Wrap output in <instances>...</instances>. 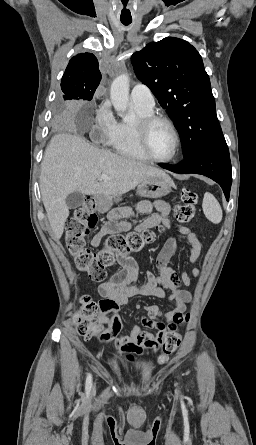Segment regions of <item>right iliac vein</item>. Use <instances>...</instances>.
I'll return each mask as SVG.
<instances>
[{"mask_svg":"<svg viewBox=\"0 0 256 445\" xmlns=\"http://www.w3.org/2000/svg\"><path fill=\"white\" fill-rule=\"evenodd\" d=\"M94 389H95V386H94V385H92V391H94Z\"/></svg>","mask_w":256,"mask_h":445,"instance_id":"1","label":"right iliac vein"}]
</instances>
